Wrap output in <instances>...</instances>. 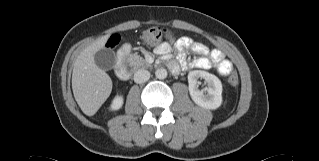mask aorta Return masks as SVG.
Wrapping results in <instances>:
<instances>
[{"label":"aorta","mask_w":319,"mask_h":161,"mask_svg":"<svg viewBox=\"0 0 319 161\" xmlns=\"http://www.w3.org/2000/svg\"><path fill=\"white\" fill-rule=\"evenodd\" d=\"M155 76L158 79H165L167 77V70L164 68H159L155 71Z\"/></svg>","instance_id":"762f6f07"}]
</instances>
